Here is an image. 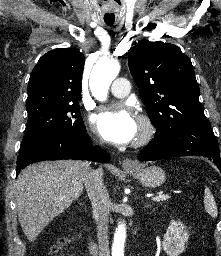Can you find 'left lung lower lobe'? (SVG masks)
Returning <instances> with one entry per match:
<instances>
[{"label":"left lung lower lobe","mask_w":221,"mask_h":256,"mask_svg":"<svg viewBox=\"0 0 221 256\" xmlns=\"http://www.w3.org/2000/svg\"><path fill=\"white\" fill-rule=\"evenodd\" d=\"M200 155L213 160L221 171V159L217 139L210 122L197 125L181 124L168 131L156 133L138 159L154 161L178 156Z\"/></svg>","instance_id":"obj_1"}]
</instances>
